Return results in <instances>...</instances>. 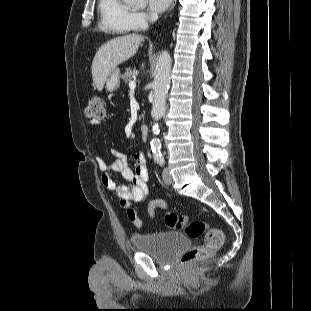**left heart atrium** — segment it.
<instances>
[{
	"label": "left heart atrium",
	"instance_id": "obj_1",
	"mask_svg": "<svg viewBox=\"0 0 311 311\" xmlns=\"http://www.w3.org/2000/svg\"><path fill=\"white\" fill-rule=\"evenodd\" d=\"M148 6L153 12H162L170 4L172 0H147Z\"/></svg>",
	"mask_w": 311,
	"mask_h": 311
}]
</instances>
